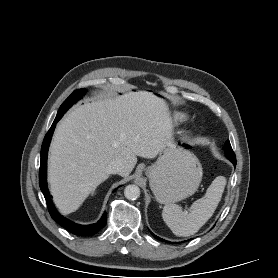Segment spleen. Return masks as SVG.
<instances>
[{"label": "spleen", "instance_id": "1", "mask_svg": "<svg viewBox=\"0 0 278 278\" xmlns=\"http://www.w3.org/2000/svg\"><path fill=\"white\" fill-rule=\"evenodd\" d=\"M225 184V177H216L205 196L192 204L189 213L183 212L176 204H166L162 212L164 222L176 236L187 237L195 234L212 217L221 200Z\"/></svg>", "mask_w": 278, "mask_h": 278}]
</instances>
